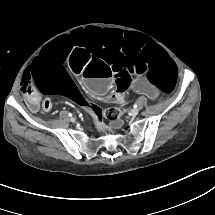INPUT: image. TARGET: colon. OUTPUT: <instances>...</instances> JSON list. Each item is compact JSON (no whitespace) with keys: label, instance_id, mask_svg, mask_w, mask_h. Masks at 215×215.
Here are the masks:
<instances>
[{"label":"colon","instance_id":"colon-1","mask_svg":"<svg viewBox=\"0 0 215 215\" xmlns=\"http://www.w3.org/2000/svg\"><path fill=\"white\" fill-rule=\"evenodd\" d=\"M42 107L45 111H50L52 107V102L49 98H46L42 102ZM96 114H101L102 117L107 119H116L120 117L123 113V110L120 108H108L104 110H98L96 107H91Z\"/></svg>","mask_w":215,"mask_h":215}]
</instances>
